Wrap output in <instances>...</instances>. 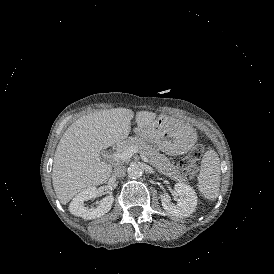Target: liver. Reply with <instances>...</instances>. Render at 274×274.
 Instances as JSON below:
<instances>
[{
  "label": "liver",
  "mask_w": 274,
  "mask_h": 274,
  "mask_svg": "<svg viewBox=\"0 0 274 274\" xmlns=\"http://www.w3.org/2000/svg\"><path fill=\"white\" fill-rule=\"evenodd\" d=\"M133 116L134 112L127 108L95 110L67 127L57 145L52 167L54 192L62 205L78 192L108 181L112 166L101 160L100 151L128 137ZM156 118L155 112L138 111L135 134L144 133Z\"/></svg>",
  "instance_id": "obj_1"
}]
</instances>
